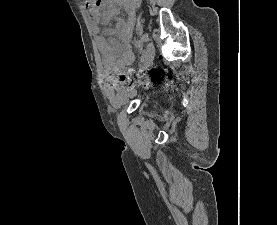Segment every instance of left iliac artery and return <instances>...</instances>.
I'll return each mask as SVG.
<instances>
[{
	"label": "left iliac artery",
	"instance_id": "1",
	"mask_svg": "<svg viewBox=\"0 0 277 225\" xmlns=\"http://www.w3.org/2000/svg\"><path fill=\"white\" fill-rule=\"evenodd\" d=\"M135 46L139 50L140 53L144 54L143 43L139 39H135ZM143 62V57L141 58V63Z\"/></svg>",
	"mask_w": 277,
	"mask_h": 225
}]
</instances>
